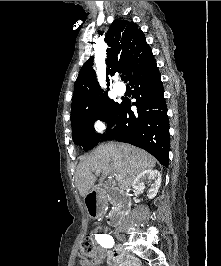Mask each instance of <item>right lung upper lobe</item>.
Listing matches in <instances>:
<instances>
[{
	"label": "right lung upper lobe",
	"instance_id": "obj_1",
	"mask_svg": "<svg viewBox=\"0 0 221 266\" xmlns=\"http://www.w3.org/2000/svg\"><path fill=\"white\" fill-rule=\"evenodd\" d=\"M104 41L107 43L106 75L122 73L131 78L138 69L154 60L152 50L146 43L142 30L136 23L115 20ZM93 57L81 68L74 86L71 118L90 111L103 96L93 69ZM109 81V79H107ZM109 85V82H108Z\"/></svg>",
	"mask_w": 221,
	"mask_h": 266
}]
</instances>
